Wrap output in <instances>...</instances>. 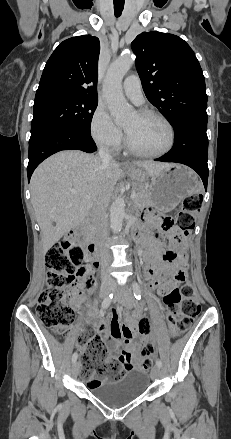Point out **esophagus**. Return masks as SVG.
Returning a JSON list of instances; mask_svg holds the SVG:
<instances>
[{
    "label": "esophagus",
    "instance_id": "1",
    "mask_svg": "<svg viewBox=\"0 0 231 439\" xmlns=\"http://www.w3.org/2000/svg\"><path fill=\"white\" fill-rule=\"evenodd\" d=\"M124 165H125V167L129 166V164H128V163H125Z\"/></svg>",
    "mask_w": 231,
    "mask_h": 439
}]
</instances>
